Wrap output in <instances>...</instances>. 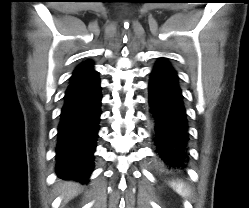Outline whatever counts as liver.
<instances>
[{"label": "liver", "instance_id": "6515ba94", "mask_svg": "<svg viewBox=\"0 0 249 208\" xmlns=\"http://www.w3.org/2000/svg\"><path fill=\"white\" fill-rule=\"evenodd\" d=\"M60 190L64 197V203H66L78 194L79 185L77 183L69 182L64 184Z\"/></svg>", "mask_w": 249, "mask_h": 208}]
</instances>
